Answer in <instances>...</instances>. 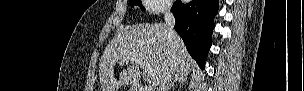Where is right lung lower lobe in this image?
<instances>
[{"label":"right lung lower lobe","mask_w":304,"mask_h":91,"mask_svg":"<svg viewBox=\"0 0 304 91\" xmlns=\"http://www.w3.org/2000/svg\"><path fill=\"white\" fill-rule=\"evenodd\" d=\"M217 11L218 0H192L187 4L177 1L171 8L176 19V32L202 69L205 68L208 50L211 47Z\"/></svg>","instance_id":"obj_1"}]
</instances>
